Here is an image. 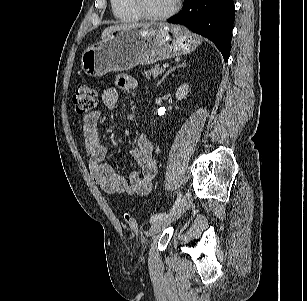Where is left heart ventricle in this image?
Here are the masks:
<instances>
[{"instance_id":"b2bd125f","label":"left heart ventricle","mask_w":307,"mask_h":301,"mask_svg":"<svg viewBox=\"0 0 307 301\" xmlns=\"http://www.w3.org/2000/svg\"><path fill=\"white\" fill-rule=\"evenodd\" d=\"M174 0H143L144 7L150 13L160 14L169 10Z\"/></svg>"}]
</instances>
